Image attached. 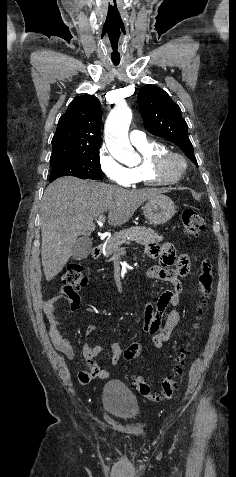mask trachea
<instances>
[{
  "instance_id": "3493384b",
  "label": "trachea",
  "mask_w": 236,
  "mask_h": 477,
  "mask_svg": "<svg viewBox=\"0 0 236 477\" xmlns=\"http://www.w3.org/2000/svg\"><path fill=\"white\" fill-rule=\"evenodd\" d=\"M114 65H118V63H114Z\"/></svg>"
}]
</instances>
